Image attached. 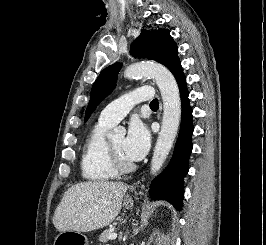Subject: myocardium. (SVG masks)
I'll use <instances>...</instances> for the list:
<instances>
[{"label": "myocardium", "instance_id": "1", "mask_svg": "<svg viewBox=\"0 0 266 245\" xmlns=\"http://www.w3.org/2000/svg\"><path fill=\"white\" fill-rule=\"evenodd\" d=\"M106 157L110 167L117 174H129L133 172L136 168L135 164L133 163L124 164L119 160V158L112 149L110 141L106 142Z\"/></svg>", "mask_w": 266, "mask_h": 245}]
</instances>
